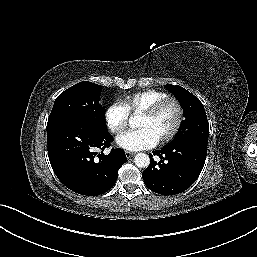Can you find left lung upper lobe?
<instances>
[{"instance_id":"1","label":"left lung upper lobe","mask_w":257,"mask_h":257,"mask_svg":"<svg viewBox=\"0 0 257 257\" xmlns=\"http://www.w3.org/2000/svg\"><path fill=\"white\" fill-rule=\"evenodd\" d=\"M167 89L179 100L185 119L174 140L169 145H176L188 141L208 143L209 124L205 109L201 101L181 86L166 85Z\"/></svg>"}]
</instances>
